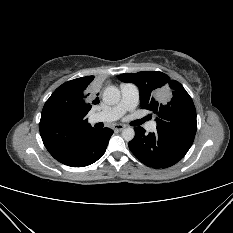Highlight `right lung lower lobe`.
Listing matches in <instances>:
<instances>
[{"mask_svg": "<svg viewBox=\"0 0 233 233\" xmlns=\"http://www.w3.org/2000/svg\"><path fill=\"white\" fill-rule=\"evenodd\" d=\"M113 130L88 127L79 131L50 133L41 136L49 153L71 167H83L97 161L106 151Z\"/></svg>", "mask_w": 233, "mask_h": 233, "instance_id": "obj_1", "label": "right lung lower lobe"}]
</instances>
